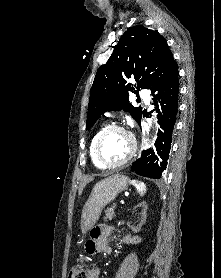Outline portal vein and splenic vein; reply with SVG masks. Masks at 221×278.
Here are the masks:
<instances>
[{
	"instance_id": "18ae733b",
	"label": "portal vein and splenic vein",
	"mask_w": 221,
	"mask_h": 278,
	"mask_svg": "<svg viewBox=\"0 0 221 278\" xmlns=\"http://www.w3.org/2000/svg\"><path fill=\"white\" fill-rule=\"evenodd\" d=\"M120 204H124V201H123V200H121V201H120Z\"/></svg>"
}]
</instances>
